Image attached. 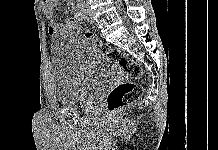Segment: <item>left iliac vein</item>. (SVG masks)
Masks as SVG:
<instances>
[{"label": "left iliac vein", "mask_w": 218, "mask_h": 150, "mask_svg": "<svg viewBox=\"0 0 218 150\" xmlns=\"http://www.w3.org/2000/svg\"><path fill=\"white\" fill-rule=\"evenodd\" d=\"M84 15V18L87 19L89 22H94L88 5L84 7Z\"/></svg>", "instance_id": "left-iliac-vein-1"}]
</instances>
